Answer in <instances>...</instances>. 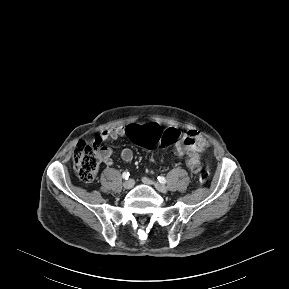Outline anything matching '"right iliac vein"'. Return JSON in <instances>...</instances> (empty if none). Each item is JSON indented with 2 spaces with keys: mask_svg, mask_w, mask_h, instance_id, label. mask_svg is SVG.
<instances>
[{
  "mask_svg": "<svg viewBox=\"0 0 289 289\" xmlns=\"http://www.w3.org/2000/svg\"><path fill=\"white\" fill-rule=\"evenodd\" d=\"M123 186H124L125 189H131V188H133V186H134V180L129 179V180L125 181L124 184H123Z\"/></svg>",
  "mask_w": 289,
  "mask_h": 289,
  "instance_id": "obj_1",
  "label": "right iliac vein"
}]
</instances>
